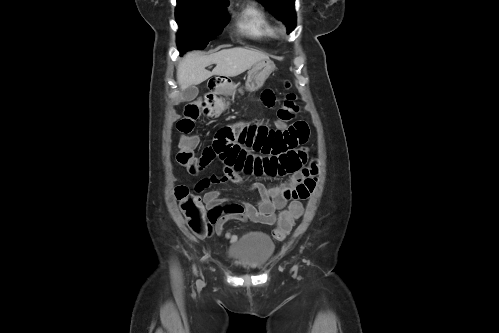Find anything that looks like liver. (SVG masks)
Returning <instances> with one entry per match:
<instances>
[{"label":"liver","mask_w":499,"mask_h":333,"mask_svg":"<svg viewBox=\"0 0 499 333\" xmlns=\"http://www.w3.org/2000/svg\"><path fill=\"white\" fill-rule=\"evenodd\" d=\"M263 52L241 47L223 49L211 55L188 53L178 64L177 80L181 90L198 85L213 75L235 77L250 69L257 62L268 60ZM216 64L212 71L207 66Z\"/></svg>","instance_id":"obj_1"}]
</instances>
